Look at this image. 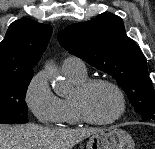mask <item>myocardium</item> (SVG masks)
I'll return each mask as SVG.
<instances>
[{
	"mask_svg": "<svg viewBox=\"0 0 155 149\" xmlns=\"http://www.w3.org/2000/svg\"><path fill=\"white\" fill-rule=\"evenodd\" d=\"M97 85H107L111 87L119 97L120 101L119 112L117 113L116 116H114L109 120L95 119L86 108L85 97L89 93V91ZM72 102L80 120L87 124L96 126H108L116 123L125 115L127 109L126 96L122 88L114 81L106 78L87 79L86 81L78 84L76 87L75 94L72 97Z\"/></svg>",
	"mask_w": 155,
	"mask_h": 149,
	"instance_id": "f54148a6",
	"label": "myocardium"
}]
</instances>
